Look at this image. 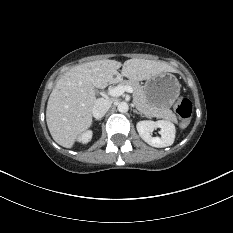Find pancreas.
<instances>
[{
	"instance_id": "pancreas-1",
	"label": "pancreas",
	"mask_w": 233,
	"mask_h": 233,
	"mask_svg": "<svg viewBox=\"0 0 233 233\" xmlns=\"http://www.w3.org/2000/svg\"><path fill=\"white\" fill-rule=\"evenodd\" d=\"M119 86H129L133 89V103L141 113L146 116L162 118L177 123V117L171 110L159 109L148 103L143 87L139 83L124 80L120 82Z\"/></svg>"
}]
</instances>
